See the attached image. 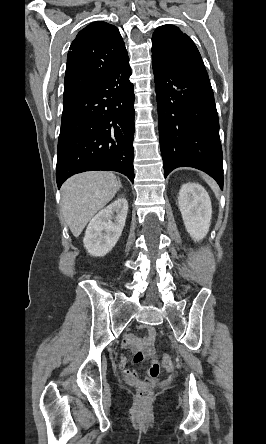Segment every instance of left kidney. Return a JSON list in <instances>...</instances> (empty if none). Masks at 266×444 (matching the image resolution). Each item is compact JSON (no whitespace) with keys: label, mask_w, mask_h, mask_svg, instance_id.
I'll use <instances>...</instances> for the list:
<instances>
[{"label":"left kidney","mask_w":266,"mask_h":444,"mask_svg":"<svg viewBox=\"0 0 266 444\" xmlns=\"http://www.w3.org/2000/svg\"><path fill=\"white\" fill-rule=\"evenodd\" d=\"M179 209L185 228L194 241L202 240L209 231L212 217L211 200L203 186L186 183L179 191Z\"/></svg>","instance_id":"1"}]
</instances>
